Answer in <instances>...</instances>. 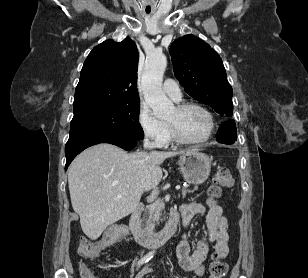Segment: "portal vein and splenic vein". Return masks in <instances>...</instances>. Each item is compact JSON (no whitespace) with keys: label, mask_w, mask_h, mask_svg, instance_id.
<instances>
[{"label":"portal vein and splenic vein","mask_w":308,"mask_h":278,"mask_svg":"<svg viewBox=\"0 0 308 278\" xmlns=\"http://www.w3.org/2000/svg\"><path fill=\"white\" fill-rule=\"evenodd\" d=\"M181 187L179 185L176 186V190H180ZM122 196L121 195H117V198H121Z\"/></svg>","instance_id":"obj_1"}]
</instances>
